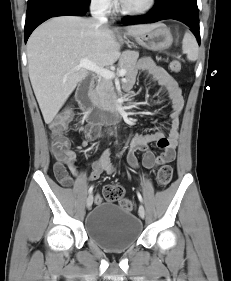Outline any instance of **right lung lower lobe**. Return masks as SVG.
Listing matches in <instances>:
<instances>
[{
  "mask_svg": "<svg viewBox=\"0 0 231 281\" xmlns=\"http://www.w3.org/2000/svg\"><path fill=\"white\" fill-rule=\"evenodd\" d=\"M89 3L90 0H28L25 42L33 30L47 19L63 15L83 16Z\"/></svg>",
  "mask_w": 231,
  "mask_h": 281,
  "instance_id": "obj_1",
  "label": "right lung lower lobe"
}]
</instances>
